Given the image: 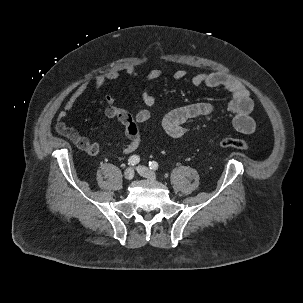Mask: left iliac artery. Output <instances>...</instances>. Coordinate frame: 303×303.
<instances>
[{
    "mask_svg": "<svg viewBox=\"0 0 303 303\" xmlns=\"http://www.w3.org/2000/svg\"><path fill=\"white\" fill-rule=\"evenodd\" d=\"M158 163L156 162V161H150L149 162V167H150V169H152V170H157L158 169Z\"/></svg>",
    "mask_w": 303,
    "mask_h": 303,
    "instance_id": "obj_1",
    "label": "left iliac artery"
}]
</instances>
